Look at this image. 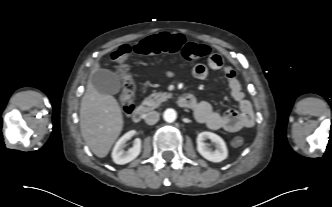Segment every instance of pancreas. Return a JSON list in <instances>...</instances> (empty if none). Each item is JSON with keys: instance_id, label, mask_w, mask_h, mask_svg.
Returning a JSON list of instances; mask_svg holds the SVG:
<instances>
[{"instance_id": "1", "label": "pancreas", "mask_w": 332, "mask_h": 207, "mask_svg": "<svg viewBox=\"0 0 332 207\" xmlns=\"http://www.w3.org/2000/svg\"><path fill=\"white\" fill-rule=\"evenodd\" d=\"M171 94L169 93H153L149 97H147L142 102V106H145L148 110H153L157 108L162 102L166 101L168 98H171Z\"/></svg>"}]
</instances>
